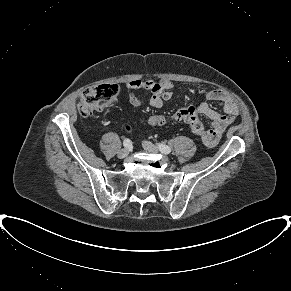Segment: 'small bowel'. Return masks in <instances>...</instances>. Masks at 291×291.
Instances as JSON below:
<instances>
[{"instance_id": "obj_1", "label": "small bowel", "mask_w": 291, "mask_h": 291, "mask_svg": "<svg viewBox=\"0 0 291 291\" xmlns=\"http://www.w3.org/2000/svg\"><path fill=\"white\" fill-rule=\"evenodd\" d=\"M127 88L129 92V103L133 107H141L144 105L143 101L134 93L137 89H144L151 93L149 104L154 108H161L173 95V83L167 79L160 81L137 79L129 82ZM206 98L221 103L223 109V114H221L212 109L207 103L193 106L198 115H204L211 120V129L201 139L205 145L213 146L227 127L234 121L239 111L234 101L222 90H210L206 93Z\"/></svg>"}]
</instances>
